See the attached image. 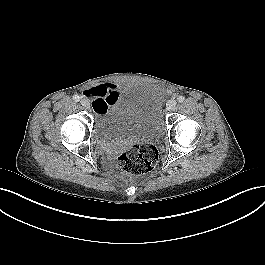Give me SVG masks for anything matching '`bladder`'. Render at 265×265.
Masks as SVG:
<instances>
[{
  "instance_id": "31cf9c89",
  "label": "bladder",
  "mask_w": 265,
  "mask_h": 265,
  "mask_svg": "<svg viewBox=\"0 0 265 265\" xmlns=\"http://www.w3.org/2000/svg\"><path fill=\"white\" fill-rule=\"evenodd\" d=\"M157 88L148 82L127 85L99 118L95 131L101 140L157 138L164 114Z\"/></svg>"
}]
</instances>
